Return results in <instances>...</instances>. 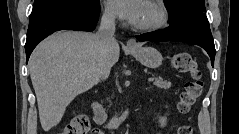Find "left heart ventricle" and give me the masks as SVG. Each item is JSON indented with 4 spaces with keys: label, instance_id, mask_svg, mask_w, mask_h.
Masks as SVG:
<instances>
[{
    "label": "left heart ventricle",
    "instance_id": "1",
    "mask_svg": "<svg viewBox=\"0 0 239 134\" xmlns=\"http://www.w3.org/2000/svg\"><path fill=\"white\" fill-rule=\"evenodd\" d=\"M156 19L155 11L146 3L143 2L142 12L137 25H143L153 22Z\"/></svg>",
    "mask_w": 239,
    "mask_h": 134
}]
</instances>
